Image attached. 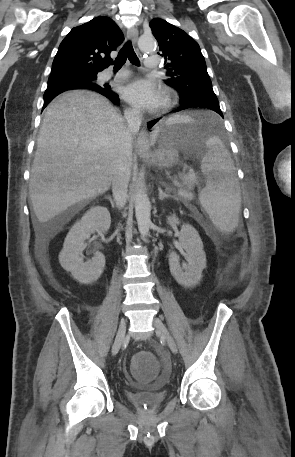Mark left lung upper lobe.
<instances>
[{"label":"left lung upper lobe","instance_id":"obj_1","mask_svg":"<svg viewBox=\"0 0 295 457\" xmlns=\"http://www.w3.org/2000/svg\"><path fill=\"white\" fill-rule=\"evenodd\" d=\"M149 26L167 61L164 82L179 92L182 103L205 96L216 97L198 43L163 19L154 18Z\"/></svg>","mask_w":295,"mask_h":457}]
</instances>
